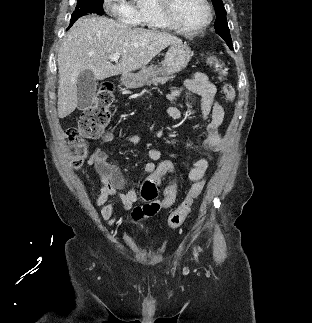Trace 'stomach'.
I'll use <instances>...</instances> for the list:
<instances>
[{
	"mask_svg": "<svg viewBox=\"0 0 312 323\" xmlns=\"http://www.w3.org/2000/svg\"><path fill=\"white\" fill-rule=\"evenodd\" d=\"M193 52L187 44H171L166 56L161 62V68H146L137 74H122L120 82L126 88H141L153 74H177L188 66Z\"/></svg>",
	"mask_w": 312,
	"mask_h": 323,
	"instance_id": "0dacf381",
	"label": "stomach"
}]
</instances>
